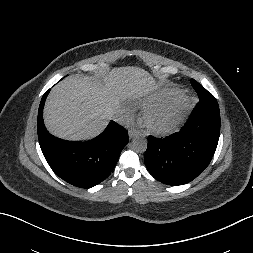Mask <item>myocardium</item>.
I'll use <instances>...</instances> for the list:
<instances>
[{"label":"myocardium","mask_w":253,"mask_h":253,"mask_svg":"<svg viewBox=\"0 0 253 253\" xmlns=\"http://www.w3.org/2000/svg\"><path fill=\"white\" fill-rule=\"evenodd\" d=\"M193 107L192 99L186 94H178L170 99L147 106L142 113V122L146 130L157 136L173 133L184 122ZM161 112H170L171 121L165 126L152 123V118Z\"/></svg>","instance_id":"1"}]
</instances>
